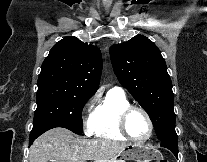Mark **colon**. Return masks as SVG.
I'll return each instance as SVG.
<instances>
[{"label": "colon", "mask_w": 207, "mask_h": 162, "mask_svg": "<svg viewBox=\"0 0 207 162\" xmlns=\"http://www.w3.org/2000/svg\"><path fill=\"white\" fill-rule=\"evenodd\" d=\"M156 162H168L167 160H158Z\"/></svg>", "instance_id": "obj_1"}]
</instances>
